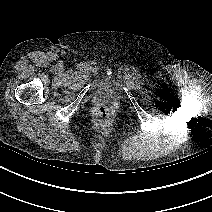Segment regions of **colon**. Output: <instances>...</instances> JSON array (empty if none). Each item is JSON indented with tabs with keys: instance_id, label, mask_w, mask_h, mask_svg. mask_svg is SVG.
I'll list each match as a JSON object with an SVG mask.
<instances>
[{
	"instance_id": "5ec220e1",
	"label": "colon",
	"mask_w": 212,
	"mask_h": 212,
	"mask_svg": "<svg viewBox=\"0 0 212 212\" xmlns=\"http://www.w3.org/2000/svg\"><path fill=\"white\" fill-rule=\"evenodd\" d=\"M97 118L101 122H108L112 119V110L107 106H100L96 112Z\"/></svg>"
}]
</instances>
